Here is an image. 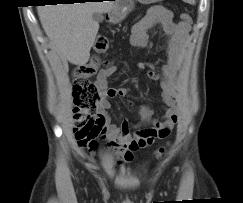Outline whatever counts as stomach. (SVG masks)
Returning <instances> with one entry per match:
<instances>
[{"label": "stomach", "instance_id": "1", "mask_svg": "<svg viewBox=\"0 0 243 203\" xmlns=\"http://www.w3.org/2000/svg\"><path fill=\"white\" fill-rule=\"evenodd\" d=\"M162 0H138L141 4H153L156 2H161ZM134 5L133 0H116V3L108 12L107 20L110 23L116 24L123 21L128 13L131 11Z\"/></svg>", "mask_w": 243, "mask_h": 203}]
</instances>
